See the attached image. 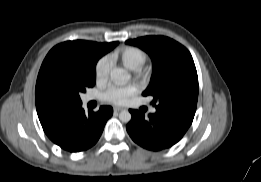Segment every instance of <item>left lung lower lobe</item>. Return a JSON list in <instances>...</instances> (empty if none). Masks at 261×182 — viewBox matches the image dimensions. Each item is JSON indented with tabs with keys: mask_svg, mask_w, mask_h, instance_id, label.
I'll return each mask as SVG.
<instances>
[{
	"mask_svg": "<svg viewBox=\"0 0 261 182\" xmlns=\"http://www.w3.org/2000/svg\"><path fill=\"white\" fill-rule=\"evenodd\" d=\"M131 121L126 129L138 145L153 151L177 143L190 127L194 114L184 111H156L148 118L141 111L130 110Z\"/></svg>",
	"mask_w": 261,
	"mask_h": 182,
	"instance_id": "1",
	"label": "left lung lower lobe"
}]
</instances>
